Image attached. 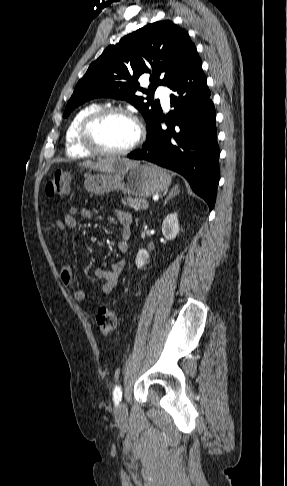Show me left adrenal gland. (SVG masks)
Here are the masks:
<instances>
[{"label": "left adrenal gland", "mask_w": 287, "mask_h": 486, "mask_svg": "<svg viewBox=\"0 0 287 486\" xmlns=\"http://www.w3.org/2000/svg\"><path fill=\"white\" fill-rule=\"evenodd\" d=\"M179 192L178 190V185H175L173 187V189L170 191L169 195L166 197L165 201H164V205L167 204V202L172 198L174 197L175 195H177V193Z\"/></svg>", "instance_id": "a2214340"}]
</instances>
